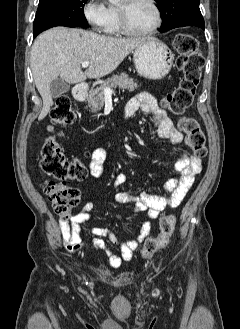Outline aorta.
<instances>
[{"mask_svg": "<svg viewBox=\"0 0 240 329\" xmlns=\"http://www.w3.org/2000/svg\"><path fill=\"white\" fill-rule=\"evenodd\" d=\"M109 2L112 4H116V3L120 2V0H109Z\"/></svg>", "mask_w": 240, "mask_h": 329, "instance_id": "aorta-1", "label": "aorta"}]
</instances>
